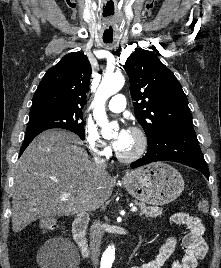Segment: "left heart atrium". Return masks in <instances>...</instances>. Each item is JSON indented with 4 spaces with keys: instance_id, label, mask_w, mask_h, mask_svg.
Here are the masks:
<instances>
[{
    "instance_id": "left-heart-atrium-1",
    "label": "left heart atrium",
    "mask_w": 221,
    "mask_h": 268,
    "mask_svg": "<svg viewBox=\"0 0 221 268\" xmlns=\"http://www.w3.org/2000/svg\"><path fill=\"white\" fill-rule=\"evenodd\" d=\"M129 133H130V131L125 129V128H122L117 133V135L115 136V139L112 143L115 150L120 151L124 147V145L127 142L128 137H129Z\"/></svg>"
}]
</instances>
